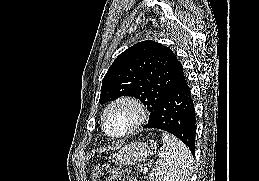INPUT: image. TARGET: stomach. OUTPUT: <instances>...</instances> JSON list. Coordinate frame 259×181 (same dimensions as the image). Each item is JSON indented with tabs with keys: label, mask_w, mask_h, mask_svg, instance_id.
I'll return each mask as SVG.
<instances>
[{
	"label": "stomach",
	"mask_w": 259,
	"mask_h": 181,
	"mask_svg": "<svg viewBox=\"0 0 259 181\" xmlns=\"http://www.w3.org/2000/svg\"><path fill=\"white\" fill-rule=\"evenodd\" d=\"M152 153L153 149L148 144L133 142L114 154L113 161L118 165H134L145 161Z\"/></svg>",
	"instance_id": "stomach-1"
}]
</instances>
